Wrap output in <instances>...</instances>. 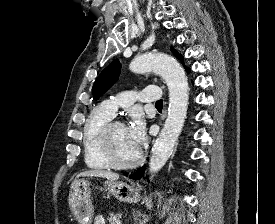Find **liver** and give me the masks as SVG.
Returning a JSON list of instances; mask_svg holds the SVG:
<instances>
[{
	"label": "liver",
	"mask_w": 275,
	"mask_h": 224,
	"mask_svg": "<svg viewBox=\"0 0 275 224\" xmlns=\"http://www.w3.org/2000/svg\"><path fill=\"white\" fill-rule=\"evenodd\" d=\"M102 177L109 181H116L119 179V174L105 170H89L78 174V177Z\"/></svg>",
	"instance_id": "liver-1"
}]
</instances>
